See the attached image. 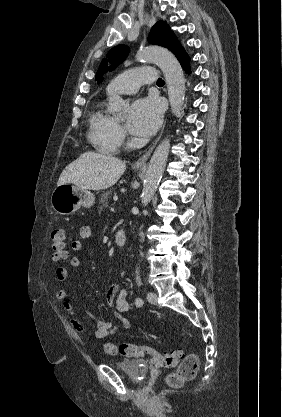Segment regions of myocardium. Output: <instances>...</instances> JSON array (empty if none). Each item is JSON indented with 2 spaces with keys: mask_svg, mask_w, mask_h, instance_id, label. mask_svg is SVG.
Instances as JSON below:
<instances>
[{
  "mask_svg": "<svg viewBox=\"0 0 282 417\" xmlns=\"http://www.w3.org/2000/svg\"><path fill=\"white\" fill-rule=\"evenodd\" d=\"M115 122H116L117 128H118L119 130H123V126H122V124H121L120 122L116 121V120H115Z\"/></svg>",
  "mask_w": 282,
  "mask_h": 417,
  "instance_id": "f54148a6",
  "label": "myocardium"
}]
</instances>
